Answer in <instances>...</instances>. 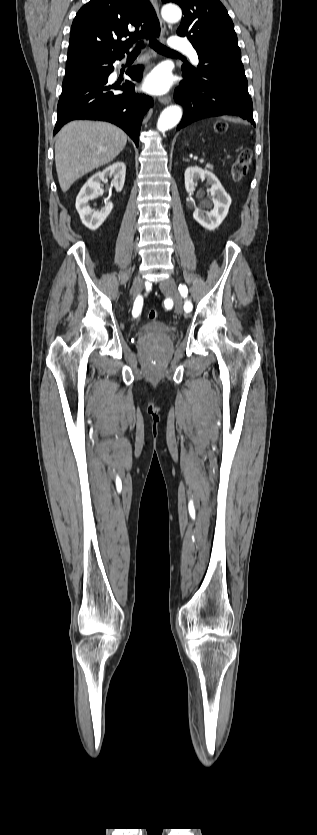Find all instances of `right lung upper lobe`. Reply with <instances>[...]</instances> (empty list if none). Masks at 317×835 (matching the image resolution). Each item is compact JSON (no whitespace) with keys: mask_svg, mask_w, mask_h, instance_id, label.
I'll return each instance as SVG.
<instances>
[{"mask_svg":"<svg viewBox=\"0 0 317 835\" xmlns=\"http://www.w3.org/2000/svg\"><path fill=\"white\" fill-rule=\"evenodd\" d=\"M159 33L156 13L147 0H90L72 23L68 56L91 52L104 58L124 56L140 38Z\"/></svg>","mask_w":317,"mask_h":835,"instance_id":"cb5924a9","label":"right lung upper lobe"}]
</instances>
